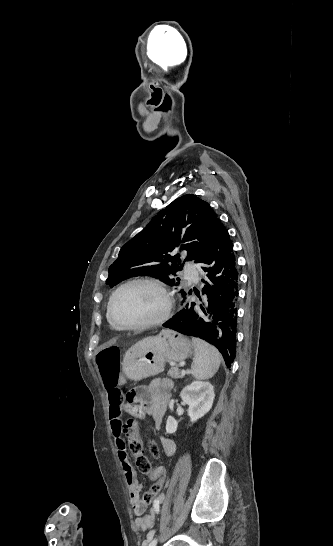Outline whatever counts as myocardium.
<instances>
[{"label": "myocardium", "instance_id": "myocardium-1", "mask_svg": "<svg viewBox=\"0 0 333 546\" xmlns=\"http://www.w3.org/2000/svg\"><path fill=\"white\" fill-rule=\"evenodd\" d=\"M133 284H147L157 288L163 295L164 308L162 312L154 319H151L149 321L136 324V325H123L116 320L114 316V312H113V306L118 294L124 288ZM172 310H173V298L170 294V291L167 289L164 283H162L160 280L151 278V277H136V278H132L125 281L124 283L119 285L115 289V291L112 293L108 302V306H107V313L111 323L116 329L122 330V331H142V330H146V329H150V328L162 325L170 318Z\"/></svg>", "mask_w": 333, "mask_h": 546}]
</instances>
